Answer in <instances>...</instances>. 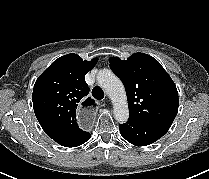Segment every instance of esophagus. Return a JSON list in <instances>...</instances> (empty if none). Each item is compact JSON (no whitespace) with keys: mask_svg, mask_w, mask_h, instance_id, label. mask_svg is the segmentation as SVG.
<instances>
[{"mask_svg":"<svg viewBox=\"0 0 209 179\" xmlns=\"http://www.w3.org/2000/svg\"><path fill=\"white\" fill-rule=\"evenodd\" d=\"M96 101L93 98H84L75 111L76 124L80 128H88L96 117Z\"/></svg>","mask_w":209,"mask_h":179,"instance_id":"obj_1","label":"esophagus"}]
</instances>
